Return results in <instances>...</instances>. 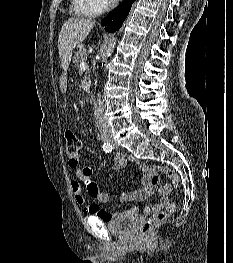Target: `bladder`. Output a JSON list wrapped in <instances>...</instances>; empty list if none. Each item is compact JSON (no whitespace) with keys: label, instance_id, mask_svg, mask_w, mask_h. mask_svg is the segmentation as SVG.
<instances>
[{"label":"bladder","instance_id":"31cf9c89","mask_svg":"<svg viewBox=\"0 0 233 263\" xmlns=\"http://www.w3.org/2000/svg\"><path fill=\"white\" fill-rule=\"evenodd\" d=\"M139 223V216L129 210L122 211L117 216L107 222L108 230L111 234L120 238L133 236Z\"/></svg>","mask_w":233,"mask_h":263}]
</instances>
